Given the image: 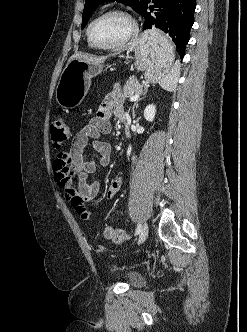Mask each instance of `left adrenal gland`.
Instances as JSON below:
<instances>
[{"instance_id":"a2214340","label":"left adrenal gland","mask_w":247,"mask_h":332,"mask_svg":"<svg viewBox=\"0 0 247 332\" xmlns=\"http://www.w3.org/2000/svg\"><path fill=\"white\" fill-rule=\"evenodd\" d=\"M141 99H142V98H141ZM141 99L137 100V101L134 103V105H133V108H132L133 118H135V111H134V109H135V107L138 106V102H139Z\"/></svg>"}]
</instances>
